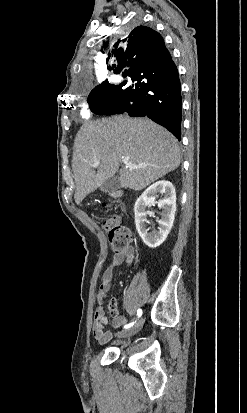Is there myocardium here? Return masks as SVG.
I'll use <instances>...</instances> for the list:
<instances>
[{
    "label": "myocardium",
    "instance_id": "1",
    "mask_svg": "<svg viewBox=\"0 0 247 413\" xmlns=\"http://www.w3.org/2000/svg\"><path fill=\"white\" fill-rule=\"evenodd\" d=\"M122 121H137V120H122Z\"/></svg>",
    "mask_w": 247,
    "mask_h": 413
}]
</instances>
